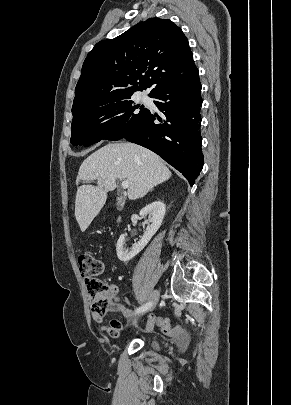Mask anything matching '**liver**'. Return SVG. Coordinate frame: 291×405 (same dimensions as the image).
I'll return each mask as SVG.
<instances>
[{
	"label": "liver",
	"mask_w": 291,
	"mask_h": 405,
	"mask_svg": "<svg viewBox=\"0 0 291 405\" xmlns=\"http://www.w3.org/2000/svg\"><path fill=\"white\" fill-rule=\"evenodd\" d=\"M170 177V170L157 154L136 144L111 143L98 149L83 161L76 180L77 185L81 180H97V186L77 188L75 217L81 231L100 212L117 179L129 181L128 198L136 200Z\"/></svg>",
	"instance_id": "liver-1"
}]
</instances>
